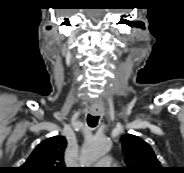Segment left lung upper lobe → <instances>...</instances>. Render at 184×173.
I'll list each match as a JSON object with an SVG mask.
<instances>
[{
    "label": "left lung upper lobe",
    "instance_id": "obj_1",
    "mask_svg": "<svg viewBox=\"0 0 184 173\" xmlns=\"http://www.w3.org/2000/svg\"><path fill=\"white\" fill-rule=\"evenodd\" d=\"M121 141L127 165L122 173H163L160 162L145 141L131 134L122 136Z\"/></svg>",
    "mask_w": 184,
    "mask_h": 173
}]
</instances>
